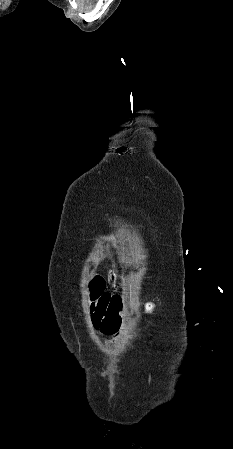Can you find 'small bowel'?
Wrapping results in <instances>:
<instances>
[{
    "label": "small bowel",
    "instance_id": "c3829d8e",
    "mask_svg": "<svg viewBox=\"0 0 233 449\" xmlns=\"http://www.w3.org/2000/svg\"><path fill=\"white\" fill-rule=\"evenodd\" d=\"M113 280L114 281H117L118 280V277L117 276H114L113 277ZM112 282L111 284L114 286V288L115 289H118L119 288V285L118 284H116L115 282ZM120 297V296H119ZM95 301V300H94ZM93 301V302H94ZM91 320H92V318H91ZM93 323V322H92ZM93 325H94V323H93ZM98 330H100V332L103 334V335H105V336H116L117 334H118V331H119V329H120V326L119 327H117V328H97Z\"/></svg>",
    "mask_w": 233,
    "mask_h": 449
}]
</instances>
